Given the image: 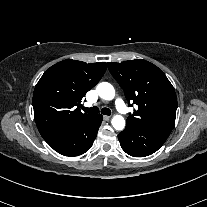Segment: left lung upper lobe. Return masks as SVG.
<instances>
[{
  "instance_id": "left-lung-upper-lobe-1",
  "label": "left lung upper lobe",
  "mask_w": 207,
  "mask_h": 207,
  "mask_svg": "<svg viewBox=\"0 0 207 207\" xmlns=\"http://www.w3.org/2000/svg\"><path fill=\"white\" fill-rule=\"evenodd\" d=\"M108 68L128 101L138 106L127 118V125L168 137L175 123L177 98L165 74L141 59L108 63Z\"/></svg>"
}]
</instances>
